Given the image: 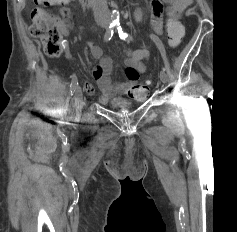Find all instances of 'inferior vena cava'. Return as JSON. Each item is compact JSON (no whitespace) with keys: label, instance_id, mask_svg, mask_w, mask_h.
<instances>
[{"label":"inferior vena cava","instance_id":"1","mask_svg":"<svg viewBox=\"0 0 237 232\" xmlns=\"http://www.w3.org/2000/svg\"><path fill=\"white\" fill-rule=\"evenodd\" d=\"M93 9L94 19L97 22L107 21L109 19V11L106 0H89Z\"/></svg>","mask_w":237,"mask_h":232}]
</instances>
